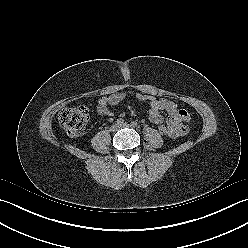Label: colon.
<instances>
[{
	"label": "colon",
	"mask_w": 248,
	"mask_h": 248,
	"mask_svg": "<svg viewBox=\"0 0 248 248\" xmlns=\"http://www.w3.org/2000/svg\"><path fill=\"white\" fill-rule=\"evenodd\" d=\"M89 120V110L85 106H76L62 110L58 115L60 127L71 137H80L85 133ZM159 132L172 137L171 130L165 124L158 127Z\"/></svg>",
	"instance_id": "obj_1"
}]
</instances>
